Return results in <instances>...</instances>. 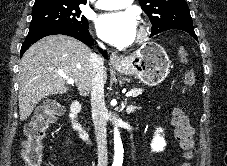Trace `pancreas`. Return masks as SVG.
<instances>
[{
    "label": "pancreas",
    "instance_id": "cf45deb5",
    "mask_svg": "<svg viewBox=\"0 0 227 166\" xmlns=\"http://www.w3.org/2000/svg\"><path fill=\"white\" fill-rule=\"evenodd\" d=\"M131 91L133 92L132 96L137 97L140 94H142L144 90L142 88H135V89H132Z\"/></svg>",
    "mask_w": 227,
    "mask_h": 166
}]
</instances>
